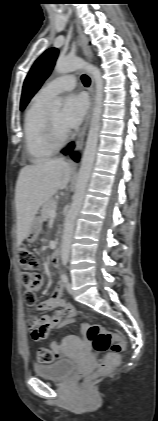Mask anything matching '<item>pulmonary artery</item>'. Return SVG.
Segmentation results:
<instances>
[{
	"label": "pulmonary artery",
	"instance_id": "e3ab8cb5",
	"mask_svg": "<svg viewBox=\"0 0 158 421\" xmlns=\"http://www.w3.org/2000/svg\"><path fill=\"white\" fill-rule=\"evenodd\" d=\"M76 85V78L74 75L67 74L54 78L47 82L39 91V94L47 99L72 90Z\"/></svg>",
	"mask_w": 158,
	"mask_h": 421
}]
</instances>
